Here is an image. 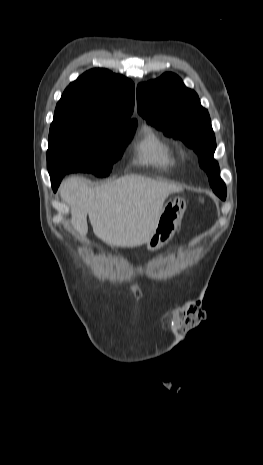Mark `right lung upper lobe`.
Wrapping results in <instances>:
<instances>
[{
	"label": "right lung upper lobe",
	"instance_id": "cb5924a9",
	"mask_svg": "<svg viewBox=\"0 0 263 465\" xmlns=\"http://www.w3.org/2000/svg\"><path fill=\"white\" fill-rule=\"evenodd\" d=\"M135 87L131 80L107 69H92L72 82L56 105L59 111H82L131 118Z\"/></svg>",
	"mask_w": 263,
	"mask_h": 465
}]
</instances>
